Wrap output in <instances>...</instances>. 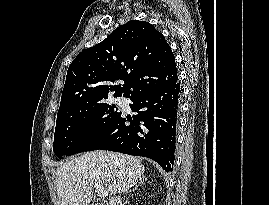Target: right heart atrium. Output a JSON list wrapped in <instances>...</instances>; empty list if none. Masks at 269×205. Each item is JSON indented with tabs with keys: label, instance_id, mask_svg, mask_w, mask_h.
Here are the masks:
<instances>
[{
	"label": "right heart atrium",
	"instance_id": "obj_1",
	"mask_svg": "<svg viewBox=\"0 0 269 205\" xmlns=\"http://www.w3.org/2000/svg\"><path fill=\"white\" fill-rule=\"evenodd\" d=\"M92 125H93V122L92 121H90V122L87 123V127L88 128H90Z\"/></svg>",
	"mask_w": 269,
	"mask_h": 205
}]
</instances>
